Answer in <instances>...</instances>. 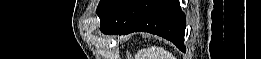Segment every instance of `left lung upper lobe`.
<instances>
[{
    "instance_id": "left-lung-upper-lobe-1",
    "label": "left lung upper lobe",
    "mask_w": 261,
    "mask_h": 59,
    "mask_svg": "<svg viewBox=\"0 0 261 59\" xmlns=\"http://www.w3.org/2000/svg\"><path fill=\"white\" fill-rule=\"evenodd\" d=\"M120 0H101L97 7L100 21L115 7Z\"/></svg>"
}]
</instances>
